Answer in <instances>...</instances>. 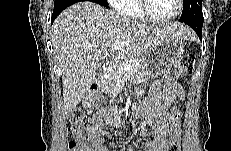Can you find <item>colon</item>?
Instances as JSON below:
<instances>
[{
  "instance_id": "5ec220e1",
  "label": "colon",
  "mask_w": 231,
  "mask_h": 151,
  "mask_svg": "<svg viewBox=\"0 0 231 151\" xmlns=\"http://www.w3.org/2000/svg\"><path fill=\"white\" fill-rule=\"evenodd\" d=\"M195 58L191 54L183 55L175 64L174 72L177 77H183L192 73L194 69ZM72 134L77 143H80L85 138L84 113L80 109L74 110L69 116ZM169 143L165 151H181V114L176 105L169 108ZM79 145L71 143L70 151H78Z\"/></svg>"
}]
</instances>
